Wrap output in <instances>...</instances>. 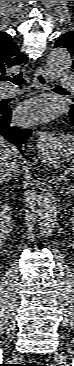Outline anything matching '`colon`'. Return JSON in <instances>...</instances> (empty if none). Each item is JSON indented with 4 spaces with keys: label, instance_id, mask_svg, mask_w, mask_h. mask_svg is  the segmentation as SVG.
<instances>
[{
    "label": "colon",
    "instance_id": "colon-1",
    "mask_svg": "<svg viewBox=\"0 0 74 366\" xmlns=\"http://www.w3.org/2000/svg\"><path fill=\"white\" fill-rule=\"evenodd\" d=\"M29 366H48V365L45 363H36L34 365H29Z\"/></svg>",
    "mask_w": 74,
    "mask_h": 366
}]
</instances>
